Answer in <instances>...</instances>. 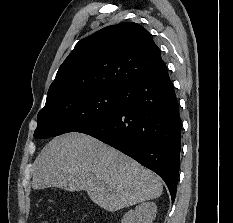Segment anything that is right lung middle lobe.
<instances>
[{"label":"right lung middle lobe","mask_w":233,"mask_h":223,"mask_svg":"<svg viewBox=\"0 0 233 223\" xmlns=\"http://www.w3.org/2000/svg\"><path fill=\"white\" fill-rule=\"evenodd\" d=\"M118 88H92L60 96L46 103L37 116L34 137L44 139L99 121L119 109Z\"/></svg>","instance_id":"dd1d6c3e"}]
</instances>
